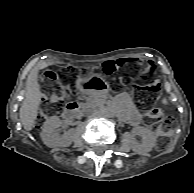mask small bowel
<instances>
[{
	"label": "small bowel",
	"mask_w": 194,
	"mask_h": 193,
	"mask_svg": "<svg viewBox=\"0 0 194 193\" xmlns=\"http://www.w3.org/2000/svg\"><path fill=\"white\" fill-rule=\"evenodd\" d=\"M120 101L127 109L130 123L135 126L139 125L141 123L142 116L134 109L131 101L125 96H122Z\"/></svg>",
	"instance_id": "obj_1"
}]
</instances>
